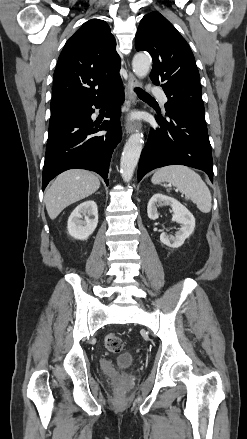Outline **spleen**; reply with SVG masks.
I'll use <instances>...</instances> for the list:
<instances>
[{
	"label": "spleen",
	"mask_w": 247,
	"mask_h": 439,
	"mask_svg": "<svg viewBox=\"0 0 247 439\" xmlns=\"http://www.w3.org/2000/svg\"><path fill=\"white\" fill-rule=\"evenodd\" d=\"M153 184L169 182L197 205L202 213L211 211V193L200 175L189 167L171 165L158 169L151 179Z\"/></svg>",
	"instance_id": "obj_1"
}]
</instances>
